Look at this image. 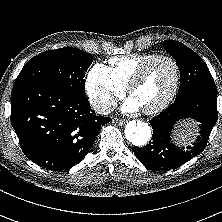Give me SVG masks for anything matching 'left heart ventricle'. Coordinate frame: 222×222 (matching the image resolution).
Segmentation results:
<instances>
[{
	"instance_id": "left-heart-ventricle-1",
	"label": "left heart ventricle",
	"mask_w": 222,
	"mask_h": 222,
	"mask_svg": "<svg viewBox=\"0 0 222 222\" xmlns=\"http://www.w3.org/2000/svg\"><path fill=\"white\" fill-rule=\"evenodd\" d=\"M174 82V68L166 60L153 63L143 80L133 89L132 96L143 109L159 104L170 92Z\"/></svg>"
}]
</instances>
